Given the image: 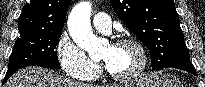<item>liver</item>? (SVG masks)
Returning <instances> with one entry per match:
<instances>
[{"label": "liver", "mask_w": 205, "mask_h": 87, "mask_svg": "<svg viewBox=\"0 0 205 87\" xmlns=\"http://www.w3.org/2000/svg\"><path fill=\"white\" fill-rule=\"evenodd\" d=\"M4 87H92L87 84L76 82L55 72L29 66L17 71L5 84Z\"/></svg>", "instance_id": "obj_1"}]
</instances>
